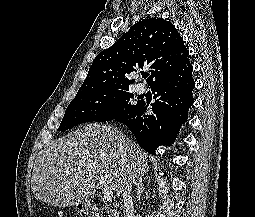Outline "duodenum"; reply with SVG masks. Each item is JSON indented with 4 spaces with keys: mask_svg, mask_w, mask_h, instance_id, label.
<instances>
[{
    "mask_svg": "<svg viewBox=\"0 0 255 217\" xmlns=\"http://www.w3.org/2000/svg\"><path fill=\"white\" fill-rule=\"evenodd\" d=\"M79 210L86 215V217H99V210L92 204L83 203L80 205ZM111 217H121L119 210L114 209L111 212Z\"/></svg>",
    "mask_w": 255,
    "mask_h": 217,
    "instance_id": "1",
    "label": "duodenum"
}]
</instances>
